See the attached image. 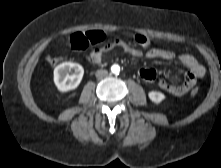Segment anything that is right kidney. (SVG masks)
<instances>
[{
  "mask_svg": "<svg viewBox=\"0 0 221 168\" xmlns=\"http://www.w3.org/2000/svg\"><path fill=\"white\" fill-rule=\"evenodd\" d=\"M84 75L83 67L78 63L64 62L54 69V83L61 92L76 89Z\"/></svg>",
  "mask_w": 221,
  "mask_h": 168,
  "instance_id": "right-kidney-1",
  "label": "right kidney"
}]
</instances>
